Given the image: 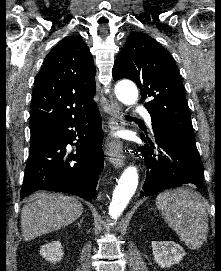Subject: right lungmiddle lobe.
Instances as JSON below:
<instances>
[{
  "label": "right lung middle lobe",
  "instance_id": "obj_1",
  "mask_svg": "<svg viewBox=\"0 0 221 271\" xmlns=\"http://www.w3.org/2000/svg\"><path fill=\"white\" fill-rule=\"evenodd\" d=\"M51 130H53V128H47V129L31 131L30 142H32L35 138H38V137H41V136L47 134Z\"/></svg>",
  "mask_w": 221,
  "mask_h": 271
}]
</instances>
